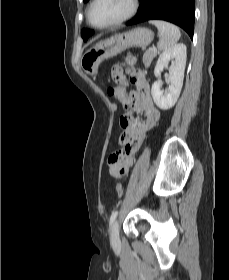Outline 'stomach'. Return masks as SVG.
<instances>
[{"label": "stomach", "mask_w": 229, "mask_h": 280, "mask_svg": "<svg viewBox=\"0 0 229 280\" xmlns=\"http://www.w3.org/2000/svg\"><path fill=\"white\" fill-rule=\"evenodd\" d=\"M153 38L154 33L144 27H137L128 32L114 35L86 51L81 58L80 66L87 75L96 76L102 61L131 47L144 49L152 42Z\"/></svg>", "instance_id": "stomach-1"}]
</instances>
